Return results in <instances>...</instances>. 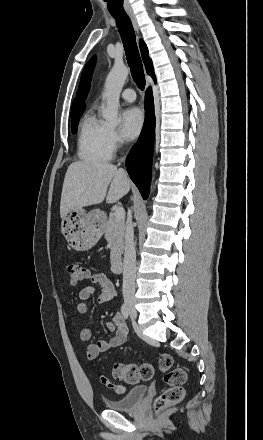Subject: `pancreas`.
<instances>
[{"instance_id":"cf45deb5","label":"pancreas","mask_w":263,"mask_h":440,"mask_svg":"<svg viewBox=\"0 0 263 440\" xmlns=\"http://www.w3.org/2000/svg\"><path fill=\"white\" fill-rule=\"evenodd\" d=\"M125 220L116 219L114 213H110L105 223V238L110 246V260L114 264L121 259L124 247Z\"/></svg>"}]
</instances>
